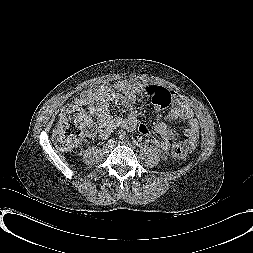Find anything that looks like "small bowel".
Wrapping results in <instances>:
<instances>
[{"mask_svg": "<svg viewBox=\"0 0 253 253\" xmlns=\"http://www.w3.org/2000/svg\"><path fill=\"white\" fill-rule=\"evenodd\" d=\"M153 89H155L153 91ZM142 93L150 97L152 105L157 109L171 107L169 113L163 121H159L154 126V131L160 136V140L152 142L153 150L162 158L169 154L173 142L177 135L170 129V125L176 121H186L184 130L185 138L178 144L186 152L195 149L199 139V125L188 103L180 96L173 94L170 90L160 87L151 82L141 80H123L115 87L102 85L90 88L81 92L75 99L74 107L82 111L87 116V121L91 129L97 123V134L101 138L108 137L115 129L123 128L135 130L143 136L150 135V125L148 123H137V114L132 110L135 103V94ZM122 103L131 110L126 116H118L111 113L114 104Z\"/></svg>", "mask_w": 253, "mask_h": 253, "instance_id": "1", "label": "small bowel"}]
</instances>
